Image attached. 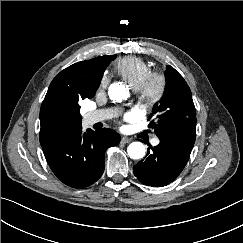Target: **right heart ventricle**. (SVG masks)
Instances as JSON below:
<instances>
[{
    "instance_id": "e07e8e85",
    "label": "right heart ventricle",
    "mask_w": 243,
    "mask_h": 243,
    "mask_svg": "<svg viewBox=\"0 0 243 243\" xmlns=\"http://www.w3.org/2000/svg\"><path fill=\"white\" fill-rule=\"evenodd\" d=\"M114 70L133 89H137L152 67L139 57L125 56L116 61Z\"/></svg>"
}]
</instances>
